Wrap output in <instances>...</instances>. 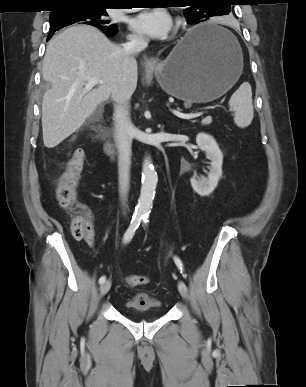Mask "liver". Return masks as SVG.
<instances>
[{"label": "liver", "instance_id": "1", "mask_svg": "<svg viewBox=\"0 0 306 387\" xmlns=\"http://www.w3.org/2000/svg\"><path fill=\"white\" fill-rule=\"evenodd\" d=\"M42 71L51 84L42 102L43 142L54 148L77 131L98 105L113 98L124 79L123 48L95 27L75 25L50 40ZM89 78L102 83L85 91ZM137 79V62L132 59L127 80L133 92Z\"/></svg>", "mask_w": 306, "mask_h": 387}]
</instances>
